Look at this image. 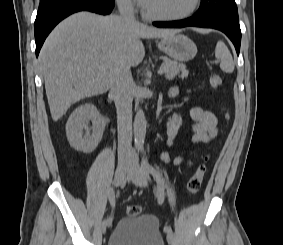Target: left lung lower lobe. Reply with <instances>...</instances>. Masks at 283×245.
I'll list each match as a JSON object with an SVG mask.
<instances>
[{
  "label": "left lung lower lobe",
  "mask_w": 283,
  "mask_h": 245,
  "mask_svg": "<svg viewBox=\"0 0 283 245\" xmlns=\"http://www.w3.org/2000/svg\"><path fill=\"white\" fill-rule=\"evenodd\" d=\"M157 27L165 28H182L187 26L203 27V28H214L225 33L230 40L233 42L237 54H239L240 43H241V30L240 26L230 24L221 20L214 19H201L192 16L188 19L171 21V22H154Z\"/></svg>",
  "instance_id": "obj_1"
}]
</instances>
